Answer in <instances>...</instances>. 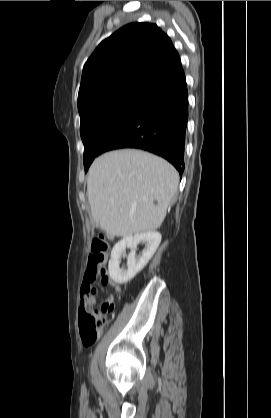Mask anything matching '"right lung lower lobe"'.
<instances>
[{"label":"right lung lower lobe","mask_w":271,"mask_h":418,"mask_svg":"<svg viewBox=\"0 0 271 418\" xmlns=\"http://www.w3.org/2000/svg\"><path fill=\"white\" fill-rule=\"evenodd\" d=\"M187 121L188 91L183 75L117 129L103 144L100 154L138 148L162 156L182 173Z\"/></svg>","instance_id":"98d812e1"}]
</instances>
